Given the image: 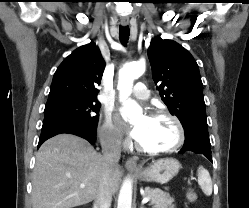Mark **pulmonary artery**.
<instances>
[{
  "label": "pulmonary artery",
  "mask_w": 249,
  "mask_h": 208,
  "mask_svg": "<svg viewBox=\"0 0 249 208\" xmlns=\"http://www.w3.org/2000/svg\"><path fill=\"white\" fill-rule=\"evenodd\" d=\"M132 96L137 99L146 100L150 96V91L147 89L144 83L138 82L133 88Z\"/></svg>",
  "instance_id": "pulmonary-artery-1"
}]
</instances>
